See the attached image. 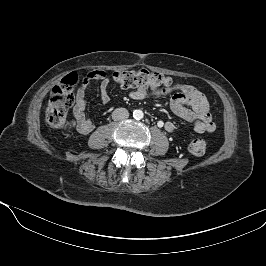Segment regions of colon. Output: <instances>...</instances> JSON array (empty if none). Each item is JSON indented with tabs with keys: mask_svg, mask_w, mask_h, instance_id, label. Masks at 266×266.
<instances>
[{
	"mask_svg": "<svg viewBox=\"0 0 266 266\" xmlns=\"http://www.w3.org/2000/svg\"><path fill=\"white\" fill-rule=\"evenodd\" d=\"M112 78L123 88L148 87L164 89L173 85V81L169 77L146 68L117 71L112 74ZM81 79H83L82 75L70 73L53 88L46 109V121L49 125L57 128L72 127L73 123L68 119V109L74 102V86ZM206 148L207 144L201 138H193L188 144L190 153L197 156L204 154Z\"/></svg>",
	"mask_w": 266,
	"mask_h": 266,
	"instance_id": "colon-1",
	"label": "colon"
}]
</instances>
